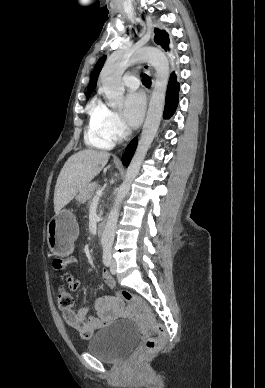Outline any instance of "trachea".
Segmentation results:
<instances>
[{"label":"trachea","instance_id":"3493384b","mask_svg":"<svg viewBox=\"0 0 265 388\" xmlns=\"http://www.w3.org/2000/svg\"><path fill=\"white\" fill-rule=\"evenodd\" d=\"M143 82H144V84L150 85L151 84L150 77L148 75H143Z\"/></svg>","mask_w":265,"mask_h":388}]
</instances>
